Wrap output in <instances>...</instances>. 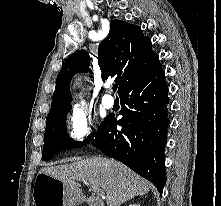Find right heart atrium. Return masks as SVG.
<instances>
[{
	"label": "right heart atrium",
	"instance_id": "1",
	"mask_svg": "<svg viewBox=\"0 0 221 206\" xmlns=\"http://www.w3.org/2000/svg\"><path fill=\"white\" fill-rule=\"evenodd\" d=\"M93 127L92 113L81 102H75L68 113V133L72 140L82 142L91 133Z\"/></svg>",
	"mask_w": 221,
	"mask_h": 206
}]
</instances>
